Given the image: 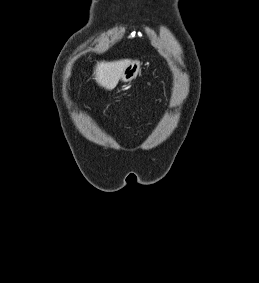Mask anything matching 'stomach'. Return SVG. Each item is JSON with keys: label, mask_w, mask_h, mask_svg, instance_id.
Listing matches in <instances>:
<instances>
[{"label": "stomach", "mask_w": 259, "mask_h": 283, "mask_svg": "<svg viewBox=\"0 0 259 283\" xmlns=\"http://www.w3.org/2000/svg\"><path fill=\"white\" fill-rule=\"evenodd\" d=\"M141 63L140 61H132L125 68L124 72L121 75V80L125 83L131 82L136 78L140 71Z\"/></svg>", "instance_id": "1"}]
</instances>
